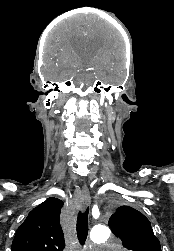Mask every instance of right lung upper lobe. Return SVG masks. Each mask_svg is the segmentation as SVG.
Wrapping results in <instances>:
<instances>
[{
    "label": "right lung upper lobe",
    "instance_id": "obj_1",
    "mask_svg": "<svg viewBox=\"0 0 174 251\" xmlns=\"http://www.w3.org/2000/svg\"><path fill=\"white\" fill-rule=\"evenodd\" d=\"M62 206L63 201L50 197L34 208L17 229L11 251H63Z\"/></svg>",
    "mask_w": 174,
    "mask_h": 251
}]
</instances>
